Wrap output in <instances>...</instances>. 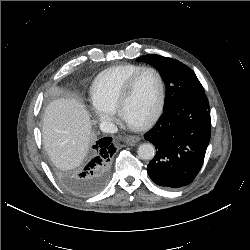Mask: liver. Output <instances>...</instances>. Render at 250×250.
Here are the masks:
<instances>
[{"instance_id": "6515ba94", "label": "liver", "mask_w": 250, "mask_h": 250, "mask_svg": "<svg viewBox=\"0 0 250 250\" xmlns=\"http://www.w3.org/2000/svg\"><path fill=\"white\" fill-rule=\"evenodd\" d=\"M91 124L85 106L76 98H60L46 107L43 143L57 168L71 170L82 163L90 144Z\"/></svg>"}]
</instances>
